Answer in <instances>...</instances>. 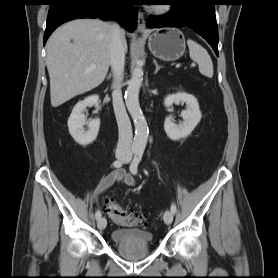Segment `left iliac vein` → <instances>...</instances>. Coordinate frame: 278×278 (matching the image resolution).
<instances>
[{"mask_svg": "<svg viewBox=\"0 0 278 278\" xmlns=\"http://www.w3.org/2000/svg\"><path fill=\"white\" fill-rule=\"evenodd\" d=\"M130 161V158L127 157L125 158V162L128 163ZM163 219H164V222L169 225L172 223L173 221V212L170 211V210H167L165 213H164V216H163Z\"/></svg>", "mask_w": 278, "mask_h": 278, "instance_id": "obj_1", "label": "left iliac vein"}]
</instances>
